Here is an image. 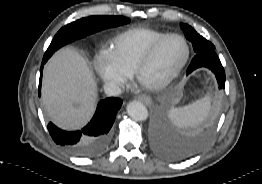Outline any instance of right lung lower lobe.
I'll use <instances>...</instances> for the list:
<instances>
[{
    "instance_id": "1",
    "label": "right lung lower lobe",
    "mask_w": 262,
    "mask_h": 184,
    "mask_svg": "<svg viewBox=\"0 0 262 184\" xmlns=\"http://www.w3.org/2000/svg\"><path fill=\"white\" fill-rule=\"evenodd\" d=\"M44 63L45 61H42L39 88ZM121 104L122 100L119 98L110 97L101 100L92 120L82 130L67 132L50 122L48 124L49 133L57 144L69 152L79 156H94L102 152L109 144L110 129Z\"/></svg>"
}]
</instances>
